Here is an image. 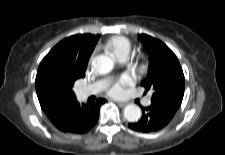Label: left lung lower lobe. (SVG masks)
I'll list each match as a JSON object with an SVG mask.
<instances>
[{"instance_id": "0a47b994", "label": "left lung lower lobe", "mask_w": 225, "mask_h": 155, "mask_svg": "<svg viewBox=\"0 0 225 155\" xmlns=\"http://www.w3.org/2000/svg\"><path fill=\"white\" fill-rule=\"evenodd\" d=\"M180 106L168 102H152L149 107H142V118L129 123L130 129L148 133L161 130L172 120Z\"/></svg>"}]
</instances>
